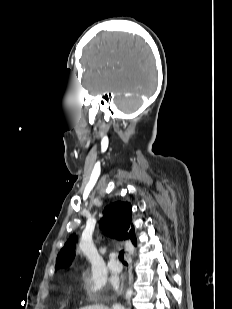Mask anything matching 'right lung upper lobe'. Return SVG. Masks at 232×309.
I'll return each instance as SVG.
<instances>
[{
  "mask_svg": "<svg viewBox=\"0 0 232 309\" xmlns=\"http://www.w3.org/2000/svg\"><path fill=\"white\" fill-rule=\"evenodd\" d=\"M132 208L127 202H116L107 206L101 220V229L111 238L117 240L130 239L136 246L137 241L134 234V226L131 223ZM75 235L65 243L57 256L55 269L67 267L71 264L75 253Z\"/></svg>",
  "mask_w": 232,
  "mask_h": 309,
  "instance_id": "obj_1",
  "label": "right lung upper lobe"
}]
</instances>
